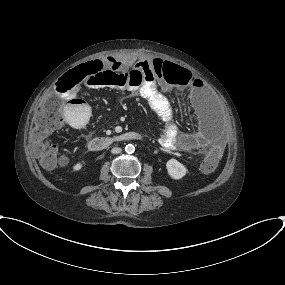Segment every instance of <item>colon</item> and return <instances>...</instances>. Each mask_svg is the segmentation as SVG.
<instances>
[{"label":"colon","instance_id":"5ec220e1","mask_svg":"<svg viewBox=\"0 0 285 285\" xmlns=\"http://www.w3.org/2000/svg\"><path fill=\"white\" fill-rule=\"evenodd\" d=\"M183 71L177 66L165 63L163 69L158 72V76L165 78L174 72ZM93 79H100L111 88L137 93L143 87L144 73L138 68L120 70L117 63L108 59L107 61L91 60L67 71L59 82L60 94H50L31 120L30 139L43 168L52 169L64 163V160L48 144L49 135L60 129L66 121L62 97L71 95L77 85ZM63 81H69V84L63 87L61 86ZM88 121L82 120L79 126H85ZM220 157L219 151L213 152L202 162L201 170L204 173L212 172Z\"/></svg>","mask_w":285,"mask_h":285}]
</instances>
